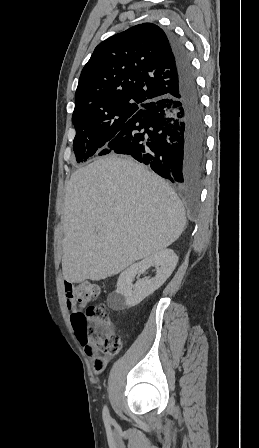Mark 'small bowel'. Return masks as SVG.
<instances>
[{
  "label": "small bowel",
  "mask_w": 259,
  "mask_h": 448,
  "mask_svg": "<svg viewBox=\"0 0 259 448\" xmlns=\"http://www.w3.org/2000/svg\"><path fill=\"white\" fill-rule=\"evenodd\" d=\"M73 289L74 288L71 283L65 282L64 291H65L66 304L68 309L71 311V316L82 312V310L76 306V303L74 301ZM84 351L85 354L91 360H93V370L96 374H99L106 369L109 363V358L100 355L99 350L94 345L92 344L85 345Z\"/></svg>",
  "instance_id": "small-bowel-1"
}]
</instances>
